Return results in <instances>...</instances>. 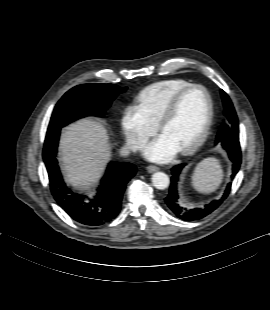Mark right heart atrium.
I'll list each match as a JSON object with an SVG mask.
<instances>
[{"instance_id":"right-heart-atrium-1","label":"right heart atrium","mask_w":270,"mask_h":310,"mask_svg":"<svg viewBox=\"0 0 270 310\" xmlns=\"http://www.w3.org/2000/svg\"><path fill=\"white\" fill-rule=\"evenodd\" d=\"M121 127L129 147L140 148L156 131V125L148 118L139 104L125 107L121 117Z\"/></svg>"}]
</instances>
